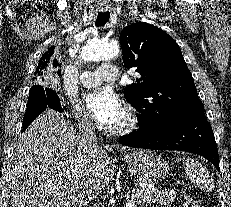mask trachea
<instances>
[{
  "instance_id": "3493384b",
  "label": "trachea",
  "mask_w": 231,
  "mask_h": 207,
  "mask_svg": "<svg viewBox=\"0 0 231 207\" xmlns=\"http://www.w3.org/2000/svg\"><path fill=\"white\" fill-rule=\"evenodd\" d=\"M110 18V13H98L97 19H96V26H102L104 25Z\"/></svg>"
}]
</instances>
